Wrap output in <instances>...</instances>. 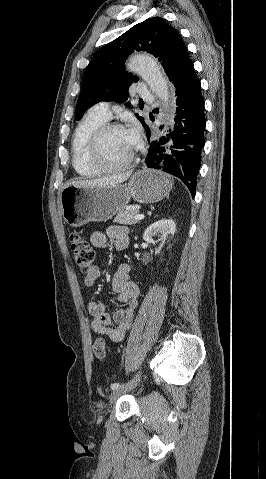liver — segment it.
<instances>
[{
	"label": "liver",
	"instance_id": "obj_1",
	"mask_svg": "<svg viewBox=\"0 0 266 479\" xmlns=\"http://www.w3.org/2000/svg\"><path fill=\"white\" fill-rule=\"evenodd\" d=\"M131 175V172L114 175L110 177H104L100 179L92 180H77L72 181L68 185H74L76 187H106L109 185H116L126 181Z\"/></svg>",
	"mask_w": 266,
	"mask_h": 479
}]
</instances>
